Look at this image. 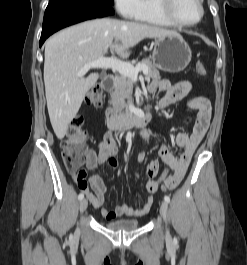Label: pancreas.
<instances>
[{
  "label": "pancreas",
  "mask_w": 247,
  "mask_h": 265,
  "mask_svg": "<svg viewBox=\"0 0 247 265\" xmlns=\"http://www.w3.org/2000/svg\"><path fill=\"white\" fill-rule=\"evenodd\" d=\"M137 65H145L148 68L146 73V78L161 79L159 71L151 63L149 59L142 60ZM133 89V79L128 76L120 75L116 76L114 79V91L111 93L110 103L113 110L116 112H122L124 108L127 107V100L131 98V93Z\"/></svg>",
  "instance_id": "cf45deb5"
}]
</instances>
